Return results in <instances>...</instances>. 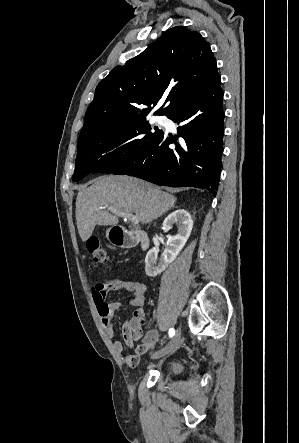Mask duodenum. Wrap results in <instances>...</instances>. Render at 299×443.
Wrapping results in <instances>:
<instances>
[{"mask_svg":"<svg viewBox=\"0 0 299 443\" xmlns=\"http://www.w3.org/2000/svg\"><path fill=\"white\" fill-rule=\"evenodd\" d=\"M111 242L119 247L128 248L138 241L143 249L149 247V238L142 230L131 231L123 226H114L110 233Z\"/></svg>","mask_w":299,"mask_h":443,"instance_id":"obj_1","label":"duodenum"}]
</instances>
